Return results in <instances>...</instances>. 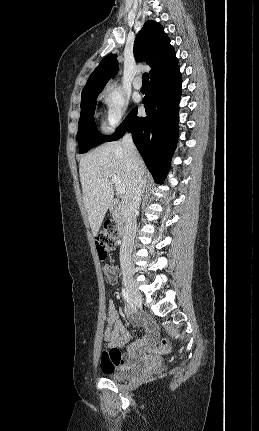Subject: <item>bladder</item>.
<instances>
[{
    "label": "bladder",
    "mask_w": 259,
    "mask_h": 431,
    "mask_svg": "<svg viewBox=\"0 0 259 431\" xmlns=\"http://www.w3.org/2000/svg\"><path fill=\"white\" fill-rule=\"evenodd\" d=\"M139 370V366L130 365L125 367H118L112 371L106 372L105 375L110 380L122 381L136 374Z\"/></svg>",
    "instance_id": "1"
}]
</instances>
